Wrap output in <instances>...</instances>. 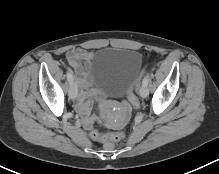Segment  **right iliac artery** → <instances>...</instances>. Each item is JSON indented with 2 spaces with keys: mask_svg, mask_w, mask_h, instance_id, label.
Returning a JSON list of instances; mask_svg holds the SVG:
<instances>
[{
  "mask_svg": "<svg viewBox=\"0 0 219 174\" xmlns=\"http://www.w3.org/2000/svg\"><path fill=\"white\" fill-rule=\"evenodd\" d=\"M67 80L70 84L73 82V73L71 69H67Z\"/></svg>",
  "mask_w": 219,
  "mask_h": 174,
  "instance_id": "1",
  "label": "right iliac artery"
}]
</instances>
